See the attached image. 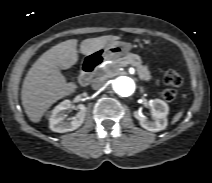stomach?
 Masks as SVG:
<instances>
[{"label": "stomach", "instance_id": "1", "mask_svg": "<svg viewBox=\"0 0 212 183\" xmlns=\"http://www.w3.org/2000/svg\"><path fill=\"white\" fill-rule=\"evenodd\" d=\"M133 48L131 43L123 41H112L106 45L102 51V56L105 59H115L119 57H124Z\"/></svg>", "mask_w": 212, "mask_h": 183}]
</instances>
